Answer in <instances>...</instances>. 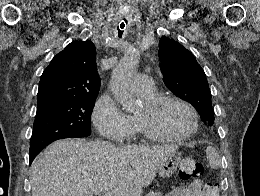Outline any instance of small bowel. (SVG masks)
<instances>
[{"label": "small bowel", "mask_w": 260, "mask_h": 196, "mask_svg": "<svg viewBox=\"0 0 260 196\" xmlns=\"http://www.w3.org/2000/svg\"><path fill=\"white\" fill-rule=\"evenodd\" d=\"M167 196H211L208 185L201 179H193L181 186H177L167 193Z\"/></svg>", "instance_id": "obj_1"}]
</instances>
